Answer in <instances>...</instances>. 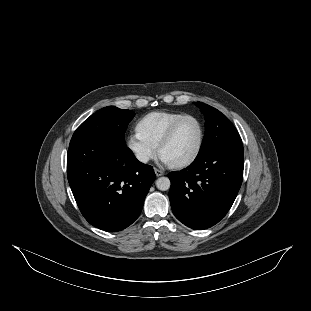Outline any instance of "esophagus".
I'll return each mask as SVG.
<instances>
[{"mask_svg":"<svg viewBox=\"0 0 311 311\" xmlns=\"http://www.w3.org/2000/svg\"><path fill=\"white\" fill-rule=\"evenodd\" d=\"M154 172L156 174V177L163 176L165 173L157 168H154Z\"/></svg>","mask_w":311,"mask_h":311,"instance_id":"34e87169","label":"esophagus"}]
</instances>
